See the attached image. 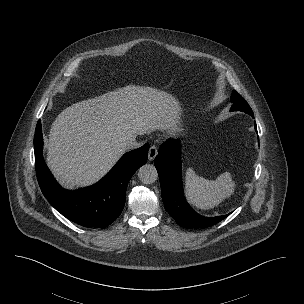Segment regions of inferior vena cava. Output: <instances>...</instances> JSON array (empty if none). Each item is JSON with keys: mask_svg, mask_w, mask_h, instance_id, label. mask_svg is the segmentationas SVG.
Wrapping results in <instances>:
<instances>
[{"mask_svg": "<svg viewBox=\"0 0 304 304\" xmlns=\"http://www.w3.org/2000/svg\"><path fill=\"white\" fill-rule=\"evenodd\" d=\"M135 137L136 136H132L125 141V146L127 149H136L140 147L141 144L136 142Z\"/></svg>", "mask_w": 304, "mask_h": 304, "instance_id": "602c4592", "label": "inferior vena cava"}]
</instances>
